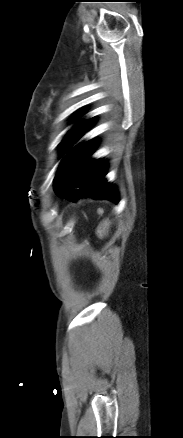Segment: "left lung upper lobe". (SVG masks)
Listing matches in <instances>:
<instances>
[{"instance_id": "1", "label": "left lung upper lobe", "mask_w": 183, "mask_h": 438, "mask_svg": "<svg viewBox=\"0 0 183 438\" xmlns=\"http://www.w3.org/2000/svg\"><path fill=\"white\" fill-rule=\"evenodd\" d=\"M95 122L94 118L86 120L78 125H76L62 141L63 151H67L68 148L73 144L79 136H81L86 130H88Z\"/></svg>"}]
</instances>
